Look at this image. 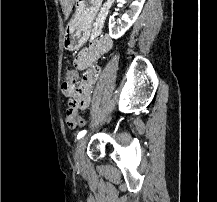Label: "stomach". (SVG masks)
Instances as JSON below:
<instances>
[{
	"instance_id": "stomach-1",
	"label": "stomach",
	"mask_w": 217,
	"mask_h": 202,
	"mask_svg": "<svg viewBox=\"0 0 217 202\" xmlns=\"http://www.w3.org/2000/svg\"><path fill=\"white\" fill-rule=\"evenodd\" d=\"M101 2L102 0H75V12L68 22L63 36L65 50L75 52L86 44Z\"/></svg>"
}]
</instances>
